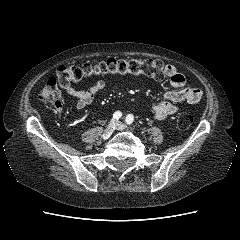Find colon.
<instances>
[{
    "label": "colon",
    "mask_w": 240,
    "mask_h": 240,
    "mask_svg": "<svg viewBox=\"0 0 240 240\" xmlns=\"http://www.w3.org/2000/svg\"><path fill=\"white\" fill-rule=\"evenodd\" d=\"M127 74L162 80L166 76V66L157 59L120 58L81 65H62L58 67L55 76L46 81L40 92V100L47 108L56 111L61 108L60 88L70 87L91 77ZM192 122L193 117L188 113H180L176 118V124L181 129H187Z\"/></svg>",
    "instance_id": "5ec220e1"
}]
</instances>
